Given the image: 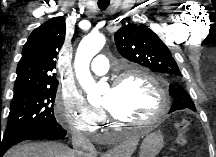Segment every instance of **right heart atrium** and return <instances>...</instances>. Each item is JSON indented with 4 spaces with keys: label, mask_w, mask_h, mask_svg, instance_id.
<instances>
[{
    "label": "right heart atrium",
    "mask_w": 216,
    "mask_h": 157,
    "mask_svg": "<svg viewBox=\"0 0 216 157\" xmlns=\"http://www.w3.org/2000/svg\"><path fill=\"white\" fill-rule=\"evenodd\" d=\"M55 117L60 124L74 134L92 135L105 122L102 108L91 106L74 89L65 90L55 102Z\"/></svg>",
    "instance_id": "right-heart-atrium-1"
}]
</instances>
